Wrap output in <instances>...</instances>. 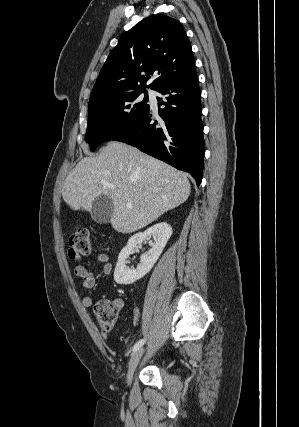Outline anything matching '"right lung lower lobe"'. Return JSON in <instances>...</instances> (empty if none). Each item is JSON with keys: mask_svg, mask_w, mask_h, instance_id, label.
<instances>
[{"mask_svg": "<svg viewBox=\"0 0 299 427\" xmlns=\"http://www.w3.org/2000/svg\"><path fill=\"white\" fill-rule=\"evenodd\" d=\"M156 91L158 113L163 122H153L150 108L143 117L112 140L130 144L173 167L189 172L197 185L203 178L204 138L200 89L196 73L163 84ZM163 105V108L160 106Z\"/></svg>", "mask_w": 299, "mask_h": 427, "instance_id": "98d812e1", "label": "right lung lower lobe"}]
</instances>
